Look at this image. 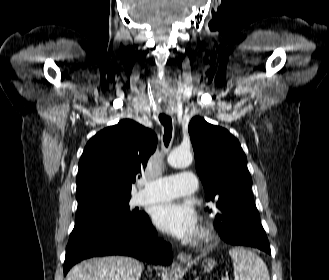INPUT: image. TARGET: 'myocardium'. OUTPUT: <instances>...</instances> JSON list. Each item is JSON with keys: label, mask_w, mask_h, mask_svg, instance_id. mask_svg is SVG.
Here are the masks:
<instances>
[{"label": "myocardium", "mask_w": 329, "mask_h": 280, "mask_svg": "<svg viewBox=\"0 0 329 280\" xmlns=\"http://www.w3.org/2000/svg\"><path fill=\"white\" fill-rule=\"evenodd\" d=\"M210 239V233L207 230H201L198 234L197 237V242L198 243H204Z\"/></svg>", "instance_id": "1"}]
</instances>
